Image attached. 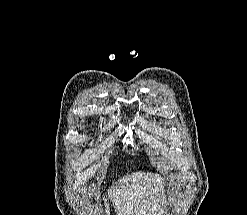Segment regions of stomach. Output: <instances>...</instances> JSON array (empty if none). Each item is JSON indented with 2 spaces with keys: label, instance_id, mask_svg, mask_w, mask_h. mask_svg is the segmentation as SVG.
I'll return each instance as SVG.
<instances>
[{
  "label": "stomach",
  "instance_id": "1",
  "mask_svg": "<svg viewBox=\"0 0 247 215\" xmlns=\"http://www.w3.org/2000/svg\"><path fill=\"white\" fill-rule=\"evenodd\" d=\"M168 205V202H163L155 215H167Z\"/></svg>",
  "mask_w": 247,
  "mask_h": 215
}]
</instances>
